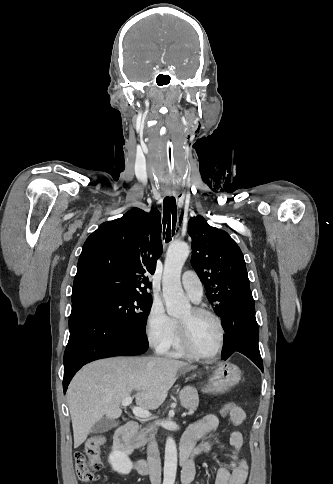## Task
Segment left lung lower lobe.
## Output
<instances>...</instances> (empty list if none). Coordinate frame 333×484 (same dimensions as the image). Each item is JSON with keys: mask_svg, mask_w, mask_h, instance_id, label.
Returning a JSON list of instances; mask_svg holds the SVG:
<instances>
[{"mask_svg": "<svg viewBox=\"0 0 333 484\" xmlns=\"http://www.w3.org/2000/svg\"><path fill=\"white\" fill-rule=\"evenodd\" d=\"M221 318L225 331L222 359L226 360L234 352H240L263 371L258 347L259 329L251 291L246 290L237 295L234 301H229L222 311Z\"/></svg>", "mask_w": 333, "mask_h": 484, "instance_id": "obj_1", "label": "left lung lower lobe"}]
</instances>
